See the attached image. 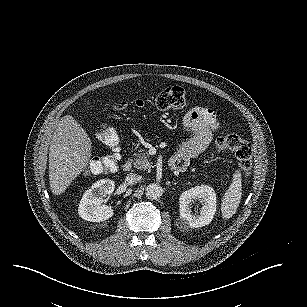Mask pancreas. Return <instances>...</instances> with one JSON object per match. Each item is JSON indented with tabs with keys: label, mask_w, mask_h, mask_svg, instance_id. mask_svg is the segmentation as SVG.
Wrapping results in <instances>:
<instances>
[{
	"label": "pancreas",
	"mask_w": 307,
	"mask_h": 307,
	"mask_svg": "<svg viewBox=\"0 0 307 307\" xmlns=\"http://www.w3.org/2000/svg\"><path fill=\"white\" fill-rule=\"evenodd\" d=\"M135 158L130 159L132 161L134 168L138 170H149L152 168V162L150 161V155L148 152L140 148L138 149V152L135 153Z\"/></svg>",
	"instance_id": "obj_1"
}]
</instances>
